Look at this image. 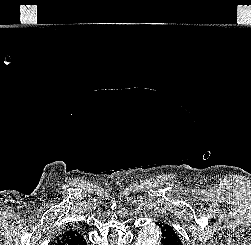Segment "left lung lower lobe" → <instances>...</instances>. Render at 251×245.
Segmentation results:
<instances>
[{
	"mask_svg": "<svg viewBox=\"0 0 251 245\" xmlns=\"http://www.w3.org/2000/svg\"><path fill=\"white\" fill-rule=\"evenodd\" d=\"M159 229V244L161 245H182L179 236L174 231L173 227L167 223L160 222L156 223Z\"/></svg>",
	"mask_w": 251,
	"mask_h": 245,
	"instance_id": "obj_1",
	"label": "left lung lower lobe"
}]
</instances>
